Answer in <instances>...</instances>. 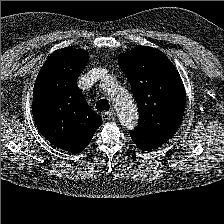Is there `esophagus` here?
Listing matches in <instances>:
<instances>
[{
	"mask_svg": "<svg viewBox=\"0 0 224 224\" xmlns=\"http://www.w3.org/2000/svg\"><path fill=\"white\" fill-rule=\"evenodd\" d=\"M101 118L105 122L109 121V120H111L113 118V113L109 112V111L103 112V113H101Z\"/></svg>",
	"mask_w": 224,
	"mask_h": 224,
	"instance_id": "esophagus-1",
	"label": "esophagus"
}]
</instances>
